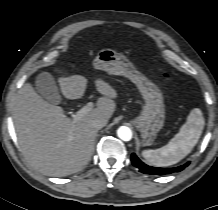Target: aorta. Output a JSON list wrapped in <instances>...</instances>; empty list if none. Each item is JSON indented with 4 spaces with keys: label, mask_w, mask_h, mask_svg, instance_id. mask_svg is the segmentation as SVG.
<instances>
[{
    "label": "aorta",
    "mask_w": 218,
    "mask_h": 210,
    "mask_svg": "<svg viewBox=\"0 0 218 210\" xmlns=\"http://www.w3.org/2000/svg\"><path fill=\"white\" fill-rule=\"evenodd\" d=\"M118 137L123 141H130L132 139V131L129 127L121 126L117 130Z\"/></svg>",
    "instance_id": "aorta-1"
}]
</instances>
